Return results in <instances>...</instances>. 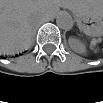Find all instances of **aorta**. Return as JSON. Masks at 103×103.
Segmentation results:
<instances>
[{
  "label": "aorta",
  "mask_w": 103,
  "mask_h": 103,
  "mask_svg": "<svg viewBox=\"0 0 103 103\" xmlns=\"http://www.w3.org/2000/svg\"><path fill=\"white\" fill-rule=\"evenodd\" d=\"M73 18L67 12L60 13L56 18V24L60 29L70 30L73 27Z\"/></svg>",
  "instance_id": "obj_1"
}]
</instances>
